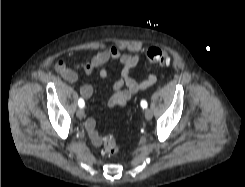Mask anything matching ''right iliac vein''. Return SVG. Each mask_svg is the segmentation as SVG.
Wrapping results in <instances>:
<instances>
[{"label":"right iliac vein","instance_id":"63e3f726","mask_svg":"<svg viewBox=\"0 0 245 187\" xmlns=\"http://www.w3.org/2000/svg\"><path fill=\"white\" fill-rule=\"evenodd\" d=\"M76 114H77L78 118L82 119L84 117V115H85V111H84V109L80 108V109L77 110Z\"/></svg>","mask_w":245,"mask_h":187}]
</instances>
